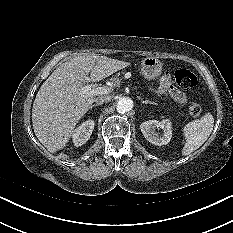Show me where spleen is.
Segmentation results:
<instances>
[{
  "label": "spleen",
  "instance_id": "3e777b00",
  "mask_svg": "<svg viewBox=\"0 0 233 233\" xmlns=\"http://www.w3.org/2000/svg\"><path fill=\"white\" fill-rule=\"evenodd\" d=\"M214 126V118L211 113H206L200 119L187 123L183 127L185 144L182 155H190L200 148L209 138Z\"/></svg>",
  "mask_w": 233,
  "mask_h": 233
}]
</instances>
